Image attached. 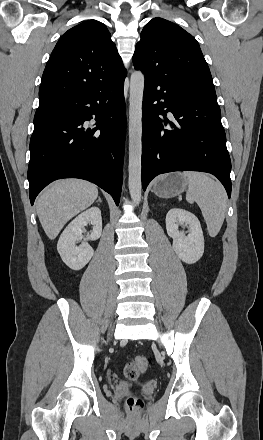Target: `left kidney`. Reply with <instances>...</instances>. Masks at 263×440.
Here are the masks:
<instances>
[{
    "label": "left kidney",
    "instance_id": "obj_1",
    "mask_svg": "<svg viewBox=\"0 0 263 440\" xmlns=\"http://www.w3.org/2000/svg\"><path fill=\"white\" fill-rule=\"evenodd\" d=\"M179 226L189 228L186 236ZM167 234L173 239V249L177 256L187 264L196 263L204 253L203 231L198 218L180 208L170 209L166 215Z\"/></svg>",
    "mask_w": 263,
    "mask_h": 440
}]
</instances>
